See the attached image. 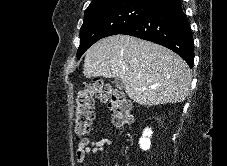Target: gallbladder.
I'll list each match as a JSON object with an SVG mask.
<instances>
[{
	"label": "gallbladder",
	"mask_w": 227,
	"mask_h": 166,
	"mask_svg": "<svg viewBox=\"0 0 227 166\" xmlns=\"http://www.w3.org/2000/svg\"><path fill=\"white\" fill-rule=\"evenodd\" d=\"M113 83L115 84V86L118 88V89H123V83H122V81H121V79H119V78H116L114 81H113Z\"/></svg>",
	"instance_id": "1"
}]
</instances>
